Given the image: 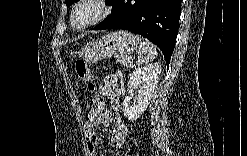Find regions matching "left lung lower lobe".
Wrapping results in <instances>:
<instances>
[{
    "instance_id": "1",
    "label": "left lung lower lobe",
    "mask_w": 247,
    "mask_h": 156,
    "mask_svg": "<svg viewBox=\"0 0 247 156\" xmlns=\"http://www.w3.org/2000/svg\"><path fill=\"white\" fill-rule=\"evenodd\" d=\"M181 0H118L111 14L94 29H124L157 45L169 65L175 47Z\"/></svg>"
}]
</instances>
